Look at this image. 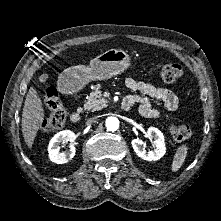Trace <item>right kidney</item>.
Here are the masks:
<instances>
[{
	"mask_svg": "<svg viewBox=\"0 0 221 221\" xmlns=\"http://www.w3.org/2000/svg\"><path fill=\"white\" fill-rule=\"evenodd\" d=\"M75 134L70 130H63L54 135L48 145L49 159L57 164H64L69 162L75 155V147L72 144L68 151L60 152V145L64 141L74 142Z\"/></svg>",
	"mask_w": 221,
	"mask_h": 221,
	"instance_id": "right-kidney-1",
	"label": "right kidney"
}]
</instances>
